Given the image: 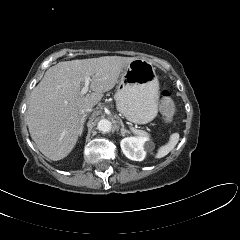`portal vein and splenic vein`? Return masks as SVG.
Wrapping results in <instances>:
<instances>
[{"mask_svg": "<svg viewBox=\"0 0 240 240\" xmlns=\"http://www.w3.org/2000/svg\"><path fill=\"white\" fill-rule=\"evenodd\" d=\"M90 82H91L90 77H85V79H84V86H83V88L81 89V92H80L81 95H85L88 92Z\"/></svg>", "mask_w": 240, "mask_h": 240, "instance_id": "portal-vein-and-splenic-vein-1", "label": "portal vein and splenic vein"}]
</instances>
